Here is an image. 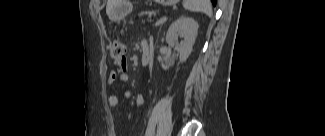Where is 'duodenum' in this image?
<instances>
[{"instance_id":"duodenum-1","label":"duodenum","mask_w":325,"mask_h":136,"mask_svg":"<svg viewBox=\"0 0 325 136\" xmlns=\"http://www.w3.org/2000/svg\"><path fill=\"white\" fill-rule=\"evenodd\" d=\"M150 52L147 42H143L141 45V60L142 65L145 66L149 63Z\"/></svg>"}]
</instances>
